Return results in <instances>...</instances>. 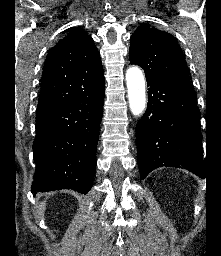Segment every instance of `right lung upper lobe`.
Segmentation results:
<instances>
[{"label": "right lung upper lobe", "instance_id": "right-lung-upper-lobe-1", "mask_svg": "<svg viewBox=\"0 0 221 256\" xmlns=\"http://www.w3.org/2000/svg\"><path fill=\"white\" fill-rule=\"evenodd\" d=\"M104 88V72L94 40L72 30L48 53L37 113L48 111Z\"/></svg>", "mask_w": 221, "mask_h": 256}]
</instances>
